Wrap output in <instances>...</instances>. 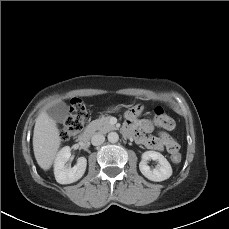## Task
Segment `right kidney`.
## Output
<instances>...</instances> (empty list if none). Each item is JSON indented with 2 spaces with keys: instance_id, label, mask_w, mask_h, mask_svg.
Instances as JSON below:
<instances>
[{
  "instance_id": "obj_1",
  "label": "right kidney",
  "mask_w": 229,
  "mask_h": 229,
  "mask_svg": "<svg viewBox=\"0 0 229 229\" xmlns=\"http://www.w3.org/2000/svg\"><path fill=\"white\" fill-rule=\"evenodd\" d=\"M71 156V148L69 146L63 147L57 154L54 162L55 179L60 184H70L79 180L85 173L87 160L85 157H80L77 164L68 168L66 163Z\"/></svg>"
}]
</instances>
